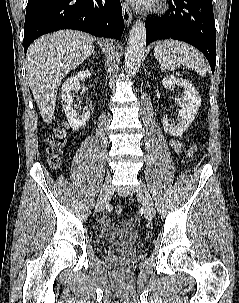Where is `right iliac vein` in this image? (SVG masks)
Here are the masks:
<instances>
[{"label":"right iliac vein","mask_w":239,"mask_h":303,"mask_svg":"<svg viewBox=\"0 0 239 303\" xmlns=\"http://www.w3.org/2000/svg\"><path fill=\"white\" fill-rule=\"evenodd\" d=\"M111 176L110 175H107L103 185H102V188H101V191L99 193V197L97 199V202H96V210L97 212H102L104 210V208L106 207V205L108 204V201L111 197Z\"/></svg>","instance_id":"1"}]
</instances>
